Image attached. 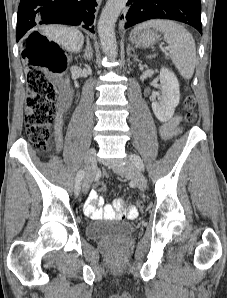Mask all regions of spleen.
<instances>
[{"label": "spleen", "instance_id": "3e777b00", "mask_svg": "<svg viewBox=\"0 0 227 298\" xmlns=\"http://www.w3.org/2000/svg\"><path fill=\"white\" fill-rule=\"evenodd\" d=\"M153 27L164 34V40L171 47L170 57L180 75L190 79L196 63V46L192 35L183 26L169 20H150L135 30Z\"/></svg>", "mask_w": 227, "mask_h": 298}]
</instances>
